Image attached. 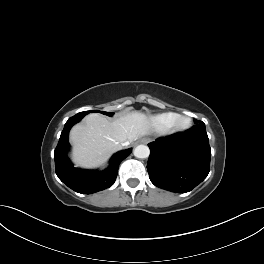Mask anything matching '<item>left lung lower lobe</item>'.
I'll use <instances>...</instances> for the list:
<instances>
[{
  "instance_id": "0a47b994",
  "label": "left lung lower lobe",
  "mask_w": 264,
  "mask_h": 264,
  "mask_svg": "<svg viewBox=\"0 0 264 264\" xmlns=\"http://www.w3.org/2000/svg\"><path fill=\"white\" fill-rule=\"evenodd\" d=\"M148 146L149 178L159 188L185 193L200 184L210 171L211 149L204 123L158 138Z\"/></svg>"
}]
</instances>
